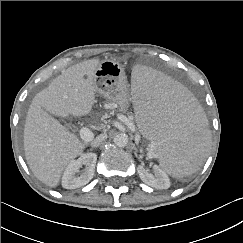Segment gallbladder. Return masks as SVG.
I'll return each mask as SVG.
<instances>
[{
	"mask_svg": "<svg viewBox=\"0 0 243 243\" xmlns=\"http://www.w3.org/2000/svg\"><path fill=\"white\" fill-rule=\"evenodd\" d=\"M64 125H65V127L69 128V129L72 128L70 123L64 122Z\"/></svg>",
	"mask_w": 243,
	"mask_h": 243,
	"instance_id": "bac80fb5",
	"label": "gallbladder"
}]
</instances>
